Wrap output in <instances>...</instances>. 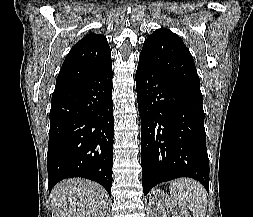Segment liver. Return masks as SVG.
I'll return each instance as SVG.
<instances>
[{"mask_svg":"<svg viewBox=\"0 0 253 217\" xmlns=\"http://www.w3.org/2000/svg\"><path fill=\"white\" fill-rule=\"evenodd\" d=\"M55 217H105L107 193L99 184L82 178L59 182L51 192Z\"/></svg>","mask_w":253,"mask_h":217,"instance_id":"6515ba94","label":"liver"}]
</instances>
